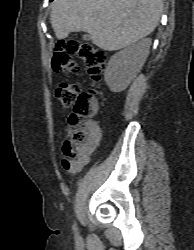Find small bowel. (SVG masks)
Listing matches in <instances>:
<instances>
[{
    "label": "small bowel",
    "mask_w": 194,
    "mask_h": 250,
    "mask_svg": "<svg viewBox=\"0 0 194 250\" xmlns=\"http://www.w3.org/2000/svg\"><path fill=\"white\" fill-rule=\"evenodd\" d=\"M87 139L83 145V153L81 158L72 164L65 165L64 168L70 173H78L83 166L88 163L89 156L98 145L101 138V127L95 121H89L86 124Z\"/></svg>",
    "instance_id": "obj_1"
}]
</instances>
